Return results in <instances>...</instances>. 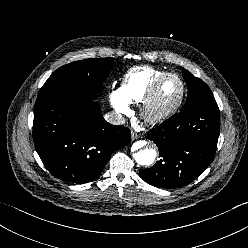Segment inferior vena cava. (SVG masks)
<instances>
[{"label":"inferior vena cava","instance_id":"obj_1","mask_svg":"<svg viewBox=\"0 0 248 248\" xmlns=\"http://www.w3.org/2000/svg\"><path fill=\"white\" fill-rule=\"evenodd\" d=\"M105 120L113 125H122L125 123V118L119 114V113H115V112H109L104 116Z\"/></svg>","mask_w":248,"mask_h":248}]
</instances>
